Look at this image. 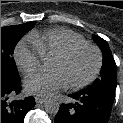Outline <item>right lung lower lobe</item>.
<instances>
[{
  "label": "right lung lower lobe",
  "mask_w": 123,
  "mask_h": 123,
  "mask_svg": "<svg viewBox=\"0 0 123 123\" xmlns=\"http://www.w3.org/2000/svg\"><path fill=\"white\" fill-rule=\"evenodd\" d=\"M19 81L1 77V123H23L26 113L35 105L33 97L9 101V97L20 93Z\"/></svg>",
  "instance_id": "98d812e1"
}]
</instances>
